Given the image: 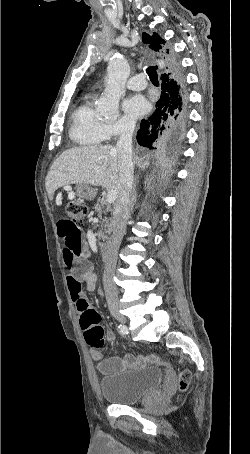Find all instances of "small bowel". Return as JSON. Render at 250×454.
I'll return each mask as SVG.
<instances>
[{
	"mask_svg": "<svg viewBox=\"0 0 250 454\" xmlns=\"http://www.w3.org/2000/svg\"><path fill=\"white\" fill-rule=\"evenodd\" d=\"M58 233L63 241V260L67 268L66 280L70 296L78 313L81 314L85 308L92 307L82 285L84 284L86 291L92 292L97 281L94 265L88 260V243L80 228L67 219L59 221ZM108 338L112 341L113 334L109 333ZM91 356L102 374H110L138 364V361L130 356L124 359L117 357L103 359L101 352L97 349L91 350ZM155 360V355L145 358L147 362Z\"/></svg>",
	"mask_w": 250,
	"mask_h": 454,
	"instance_id": "c3829d8e",
	"label": "small bowel"
}]
</instances>
